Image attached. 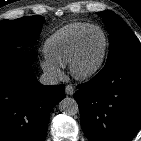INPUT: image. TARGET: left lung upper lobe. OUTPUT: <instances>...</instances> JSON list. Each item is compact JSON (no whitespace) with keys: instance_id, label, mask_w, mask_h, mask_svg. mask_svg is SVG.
Returning <instances> with one entry per match:
<instances>
[{"instance_id":"obj_1","label":"left lung upper lobe","mask_w":141,"mask_h":141,"mask_svg":"<svg viewBox=\"0 0 141 141\" xmlns=\"http://www.w3.org/2000/svg\"><path fill=\"white\" fill-rule=\"evenodd\" d=\"M98 14L109 32L110 51L106 64L122 58L141 57V44L122 18L110 10Z\"/></svg>"}]
</instances>
